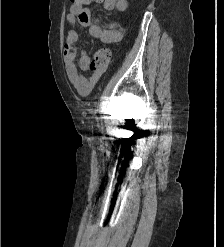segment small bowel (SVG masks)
Segmentation results:
<instances>
[{
  "mask_svg": "<svg viewBox=\"0 0 224 247\" xmlns=\"http://www.w3.org/2000/svg\"><path fill=\"white\" fill-rule=\"evenodd\" d=\"M81 7L70 6L66 15L68 23L79 27H88L89 34L104 43H114L121 40L123 29L117 23L102 25L99 19L92 16L86 5L93 2H102L107 11L125 12L128 7L127 0H84ZM79 38L77 30L69 31L64 42V61L69 81L80 95H88L100 80L102 73H93L89 77L82 74V71L90 69V56L79 50L76 42ZM78 62L76 63V59Z\"/></svg>",
  "mask_w": 224,
  "mask_h": 247,
  "instance_id": "1",
  "label": "small bowel"
}]
</instances>
